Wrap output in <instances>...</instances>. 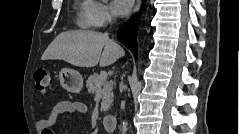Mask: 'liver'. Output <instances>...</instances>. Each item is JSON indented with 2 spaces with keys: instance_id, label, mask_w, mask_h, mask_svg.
<instances>
[{
  "instance_id": "6515ba94",
  "label": "liver",
  "mask_w": 239,
  "mask_h": 134,
  "mask_svg": "<svg viewBox=\"0 0 239 134\" xmlns=\"http://www.w3.org/2000/svg\"><path fill=\"white\" fill-rule=\"evenodd\" d=\"M125 52L107 34L91 30L60 33L47 47L42 60H64L77 67L108 66Z\"/></svg>"
}]
</instances>
